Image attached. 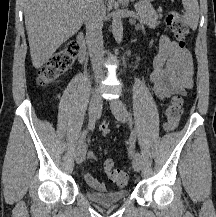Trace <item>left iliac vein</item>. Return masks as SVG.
I'll list each match as a JSON object with an SVG mask.
<instances>
[{
	"label": "left iliac vein",
	"mask_w": 216,
	"mask_h": 217,
	"mask_svg": "<svg viewBox=\"0 0 216 217\" xmlns=\"http://www.w3.org/2000/svg\"><path fill=\"white\" fill-rule=\"evenodd\" d=\"M110 108L115 116V118L121 122L125 123L128 118L126 106L120 99H115L110 102ZM132 166L136 172H139L141 169V159L140 155L137 153L133 156Z\"/></svg>",
	"instance_id": "1"
}]
</instances>
